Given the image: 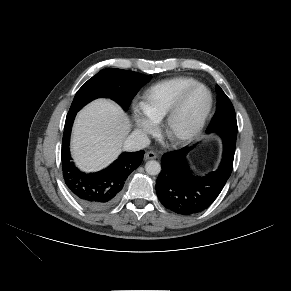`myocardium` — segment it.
<instances>
[{"instance_id":"f54148a6","label":"myocardium","mask_w":291,"mask_h":291,"mask_svg":"<svg viewBox=\"0 0 291 291\" xmlns=\"http://www.w3.org/2000/svg\"><path fill=\"white\" fill-rule=\"evenodd\" d=\"M197 89H204L208 94V104L195 126L186 133L178 134L173 131V123L181 111L188 97ZM213 108V94L208 86L197 83L187 88L175 101L163 120V132L165 136L176 145H184L193 140L203 129Z\"/></svg>"}]
</instances>
